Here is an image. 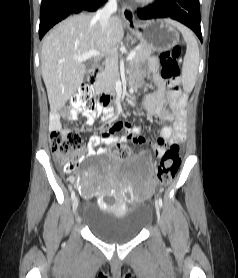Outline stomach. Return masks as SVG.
<instances>
[{
	"label": "stomach",
	"mask_w": 238,
	"mask_h": 278,
	"mask_svg": "<svg viewBox=\"0 0 238 278\" xmlns=\"http://www.w3.org/2000/svg\"><path fill=\"white\" fill-rule=\"evenodd\" d=\"M131 32L141 44L163 51L174 47L179 42V33L167 20L153 19L129 26Z\"/></svg>",
	"instance_id": "1"
}]
</instances>
